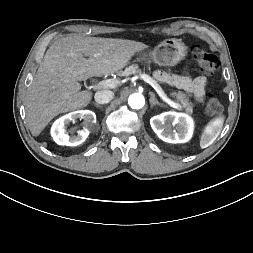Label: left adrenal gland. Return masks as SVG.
Segmentation results:
<instances>
[{"label": "left adrenal gland", "instance_id": "a2214340", "mask_svg": "<svg viewBox=\"0 0 253 253\" xmlns=\"http://www.w3.org/2000/svg\"><path fill=\"white\" fill-rule=\"evenodd\" d=\"M150 105L151 107L155 106V105H159V106H162L161 103L158 102V100L155 98V94L150 92Z\"/></svg>", "mask_w": 253, "mask_h": 253}]
</instances>
